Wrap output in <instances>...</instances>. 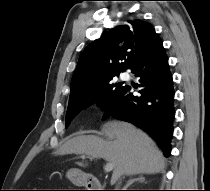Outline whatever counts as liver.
<instances>
[{
	"label": "liver",
	"instance_id": "liver-1",
	"mask_svg": "<svg viewBox=\"0 0 210 191\" xmlns=\"http://www.w3.org/2000/svg\"><path fill=\"white\" fill-rule=\"evenodd\" d=\"M102 134L106 139L94 135L71 138L54 154H85L91 159L103 158L114 163L111 183L123 174H155L164 169L161 151L145 132L132 124L107 122L103 125ZM77 164L84 166L81 162Z\"/></svg>",
	"mask_w": 210,
	"mask_h": 191
}]
</instances>
